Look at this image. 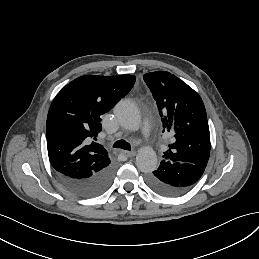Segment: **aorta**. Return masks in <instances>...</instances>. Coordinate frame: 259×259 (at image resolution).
<instances>
[{
    "label": "aorta",
    "mask_w": 259,
    "mask_h": 259,
    "mask_svg": "<svg viewBox=\"0 0 259 259\" xmlns=\"http://www.w3.org/2000/svg\"><path fill=\"white\" fill-rule=\"evenodd\" d=\"M115 116L124 128L136 131L141 124V117L137 106L129 100L119 101L114 108ZM158 159L155 151L150 147H142L136 155V166L144 173L156 170Z\"/></svg>",
    "instance_id": "762f6f07"
}]
</instances>
